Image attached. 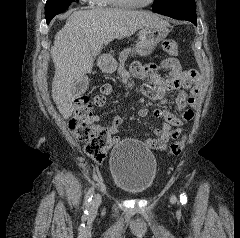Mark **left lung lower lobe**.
<instances>
[{
    "mask_svg": "<svg viewBox=\"0 0 240 238\" xmlns=\"http://www.w3.org/2000/svg\"><path fill=\"white\" fill-rule=\"evenodd\" d=\"M156 13L178 19V20H186L197 25L196 11L178 9V8H168L161 10H153Z\"/></svg>",
    "mask_w": 240,
    "mask_h": 238,
    "instance_id": "left-lung-lower-lobe-1",
    "label": "left lung lower lobe"
}]
</instances>
